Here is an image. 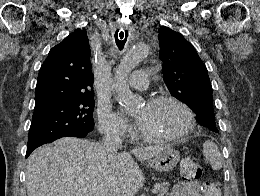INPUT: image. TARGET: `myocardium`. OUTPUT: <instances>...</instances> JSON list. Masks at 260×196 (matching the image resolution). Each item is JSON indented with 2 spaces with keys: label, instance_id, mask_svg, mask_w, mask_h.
I'll return each mask as SVG.
<instances>
[{
  "label": "myocardium",
  "instance_id": "1",
  "mask_svg": "<svg viewBox=\"0 0 260 196\" xmlns=\"http://www.w3.org/2000/svg\"><path fill=\"white\" fill-rule=\"evenodd\" d=\"M164 103H173L181 107L188 116L187 124L184 127V129L174 134H153L141 130L140 135L145 141L158 143L179 141L186 138L194 129L196 119L195 113L193 109L179 97L170 94H165L151 97L147 101L148 106H154Z\"/></svg>",
  "mask_w": 260,
  "mask_h": 196
}]
</instances>
